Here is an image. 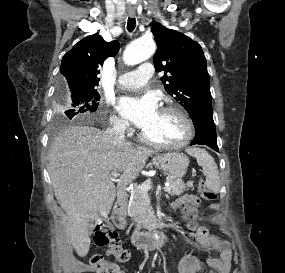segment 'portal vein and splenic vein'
Returning a JSON list of instances; mask_svg holds the SVG:
<instances>
[{
  "label": "portal vein and splenic vein",
  "mask_w": 285,
  "mask_h": 273,
  "mask_svg": "<svg viewBox=\"0 0 285 273\" xmlns=\"http://www.w3.org/2000/svg\"><path fill=\"white\" fill-rule=\"evenodd\" d=\"M111 176H112L113 178H117V177L119 176V173H118L117 171H112V172H111ZM151 188H152V187H151V185H150L149 182H148V183L141 184L140 186H138V189H140V190H142V191H144V192H147V191L150 190ZM164 191H165V192L171 191V186H170V185H166V186L164 187Z\"/></svg>",
  "instance_id": "obj_1"
}]
</instances>
